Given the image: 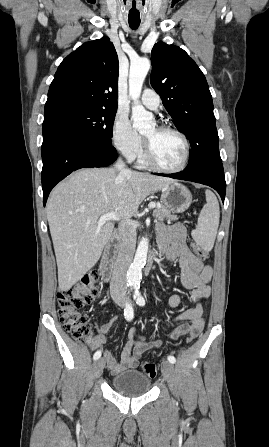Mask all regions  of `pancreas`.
Instances as JSON below:
<instances>
[{"label":"pancreas","instance_id":"cf45deb5","mask_svg":"<svg viewBox=\"0 0 269 447\" xmlns=\"http://www.w3.org/2000/svg\"><path fill=\"white\" fill-rule=\"evenodd\" d=\"M153 216L154 218H157V220H178L177 216H172L170 210H168V208H166V206H160V208H155L154 212H153Z\"/></svg>","mask_w":269,"mask_h":447}]
</instances>
